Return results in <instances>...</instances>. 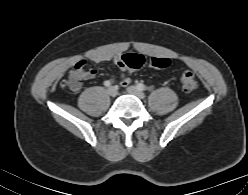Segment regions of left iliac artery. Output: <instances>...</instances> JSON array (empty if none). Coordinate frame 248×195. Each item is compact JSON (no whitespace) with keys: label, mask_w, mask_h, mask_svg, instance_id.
Segmentation results:
<instances>
[{"label":"left iliac artery","mask_w":248,"mask_h":195,"mask_svg":"<svg viewBox=\"0 0 248 195\" xmlns=\"http://www.w3.org/2000/svg\"><path fill=\"white\" fill-rule=\"evenodd\" d=\"M137 88L141 91H145L147 89V87L142 83L137 84Z\"/></svg>","instance_id":"44dca946"}]
</instances>
